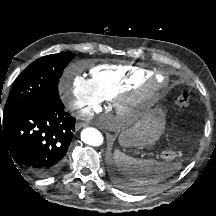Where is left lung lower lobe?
<instances>
[{
	"label": "left lung lower lobe",
	"mask_w": 216,
	"mask_h": 216,
	"mask_svg": "<svg viewBox=\"0 0 216 216\" xmlns=\"http://www.w3.org/2000/svg\"><path fill=\"white\" fill-rule=\"evenodd\" d=\"M114 180L118 186L126 190H134L137 186L130 180V178L124 174H114Z\"/></svg>",
	"instance_id": "1"
}]
</instances>
